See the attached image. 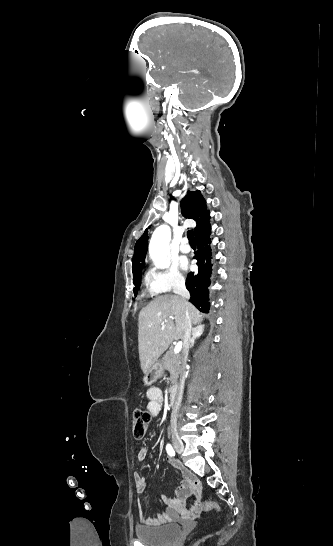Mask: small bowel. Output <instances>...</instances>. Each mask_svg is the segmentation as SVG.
Here are the masks:
<instances>
[{"label":"small bowel","mask_w":333,"mask_h":546,"mask_svg":"<svg viewBox=\"0 0 333 546\" xmlns=\"http://www.w3.org/2000/svg\"><path fill=\"white\" fill-rule=\"evenodd\" d=\"M146 398L148 400L147 409L151 416H158L162 412L164 404L163 392L159 387H151L146 392ZM148 450L141 448L138 451L137 459L142 462L146 459ZM169 461L175 465L174 459L169 458ZM182 475L181 485L172 494H162L160 500L166 506V510L156 517L145 516L141 506L138 507L139 521L146 526H160L171 521L172 515L175 511L181 512L185 519H195L200 516L201 501L203 498V491L201 482L195 477V475L185 467H180ZM134 484L138 494H143L147 488V479L139 472L134 473ZM193 498L191 506H187L188 498Z\"/></svg>","instance_id":"c3829d8e"}]
</instances>
